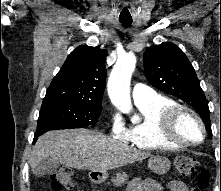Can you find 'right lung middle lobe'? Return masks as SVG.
I'll return each instance as SVG.
<instances>
[{"instance_id":"right-lung-middle-lobe-1","label":"right lung middle lobe","mask_w":221,"mask_h":191,"mask_svg":"<svg viewBox=\"0 0 221 191\" xmlns=\"http://www.w3.org/2000/svg\"><path fill=\"white\" fill-rule=\"evenodd\" d=\"M101 104L85 102H61L41 106L36 134L54 129L83 128L95 125Z\"/></svg>"}]
</instances>
